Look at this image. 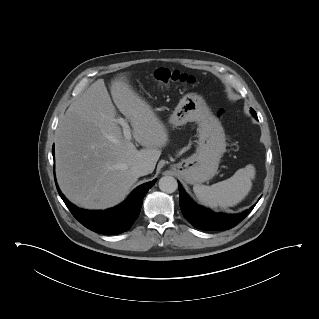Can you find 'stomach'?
<instances>
[{"label": "stomach", "mask_w": 319, "mask_h": 319, "mask_svg": "<svg viewBox=\"0 0 319 319\" xmlns=\"http://www.w3.org/2000/svg\"><path fill=\"white\" fill-rule=\"evenodd\" d=\"M187 122L198 124V143L194 154L181 160L173 169L189 184H201L212 179L218 170L220 159L226 151V137L219 119L214 116L201 95H184L169 123L174 127Z\"/></svg>", "instance_id": "0dacf381"}]
</instances>
